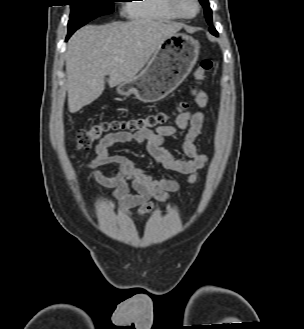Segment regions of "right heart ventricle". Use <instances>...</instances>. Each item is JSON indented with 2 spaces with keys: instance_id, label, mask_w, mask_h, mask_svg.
I'll return each instance as SVG.
<instances>
[{
  "instance_id": "right-heart-ventricle-1",
  "label": "right heart ventricle",
  "mask_w": 304,
  "mask_h": 329,
  "mask_svg": "<svg viewBox=\"0 0 304 329\" xmlns=\"http://www.w3.org/2000/svg\"><path fill=\"white\" fill-rule=\"evenodd\" d=\"M140 2V3H134ZM130 17L135 19L174 21L179 19L167 4V0H131L126 4Z\"/></svg>"
}]
</instances>
